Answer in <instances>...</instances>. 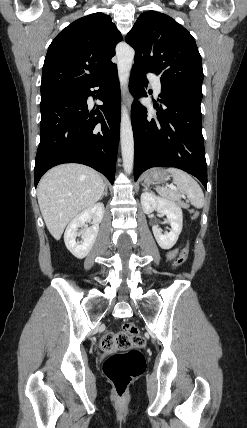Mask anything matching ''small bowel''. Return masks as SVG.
Masks as SVG:
<instances>
[{
    "label": "small bowel",
    "mask_w": 247,
    "mask_h": 428,
    "mask_svg": "<svg viewBox=\"0 0 247 428\" xmlns=\"http://www.w3.org/2000/svg\"><path fill=\"white\" fill-rule=\"evenodd\" d=\"M176 254H177V249H173V250L169 251L168 254H167V259L168 260L174 259V257L176 256Z\"/></svg>",
    "instance_id": "1"
}]
</instances>
